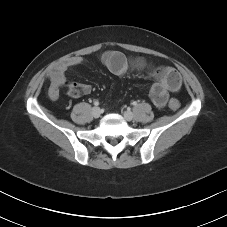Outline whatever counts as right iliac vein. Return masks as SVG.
<instances>
[{"label": "right iliac vein", "instance_id": "obj_1", "mask_svg": "<svg viewBox=\"0 0 227 227\" xmlns=\"http://www.w3.org/2000/svg\"><path fill=\"white\" fill-rule=\"evenodd\" d=\"M92 115H93L95 118L100 117V115H101V110H100V108L94 107V108L92 109Z\"/></svg>", "mask_w": 227, "mask_h": 227}]
</instances>
